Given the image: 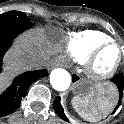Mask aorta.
I'll list each match as a JSON object with an SVG mask.
<instances>
[{
    "mask_svg": "<svg viewBox=\"0 0 124 124\" xmlns=\"http://www.w3.org/2000/svg\"><path fill=\"white\" fill-rule=\"evenodd\" d=\"M50 83L57 91H65L71 84V76L65 69H54L50 74Z\"/></svg>",
    "mask_w": 124,
    "mask_h": 124,
    "instance_id": "obj_1",
    "label": "aorta"
}]
</instances>
